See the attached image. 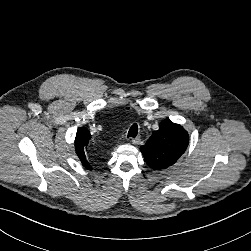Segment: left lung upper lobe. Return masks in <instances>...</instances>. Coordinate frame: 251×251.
<instances>
[{
    "label": "left lung upper lobe",
    "instance_id": "1",
    "mask_svg": "<svg viewBox=\"0 0 251 251\" xmlns=\"http://www.w3.org/2000/svg\"><path fill=\"white\" fill-rule=\"evenodd\" d=\"M188 143V133L181 125L163 120L140 150L149 167L159 170L173 165L185 152Z\"/></svg>",
    "mask_w": 251,
    "mask_h": 251
}]
</instances>
